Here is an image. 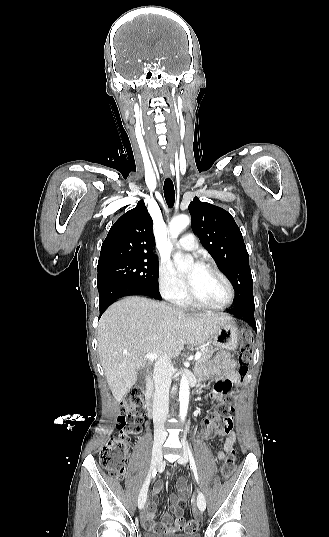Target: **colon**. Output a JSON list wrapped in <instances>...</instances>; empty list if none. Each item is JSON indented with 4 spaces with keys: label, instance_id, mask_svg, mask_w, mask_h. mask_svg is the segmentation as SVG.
<instances>
[{
    "label": "colon",
    "instance_id": "5ec220e1",
    "mask_svg": "<svg viewBox=\"0 0 329 537\" xmlns=\"http://www.w3.org/2000/svg\"><path fill=\"white\" fill-rule=\"evenodd\" d=\"M253 353V336L249 331H245L241 337L238 355V372L241 378H244L248 373L249 366L253 360ZM217 399L218 405L207 417V423L227 429L232 425L231 414L236 406L237 394L231 390V393L226 397L221 396L219 393ZM143 417L142 391L139 388H133L125 394L121 401L120 414L116 421L118 433L104 444L99 454L100 463L111 478L121 479L123 477L127 464L130 437L137 436L140 433ZM235 461V451L232 449L221 468V476L224 480H227L232 475L235 469ZM199 525L200 522L197 519L184 520L185 530L190 535L198 533Z\"/></svg>",
    "mask_w": 329,
    "mask_h": 537
}]
</instances>
